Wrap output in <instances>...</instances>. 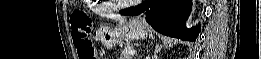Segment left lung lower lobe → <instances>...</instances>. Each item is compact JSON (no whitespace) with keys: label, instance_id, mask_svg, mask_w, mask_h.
<instances>
[{"label":"left lung lower lobe","instance_id":"0a47b994","mask_svg":"<svg viewBox=\"0 0 261 59\" xmlns=\"http://www.w3.org/2000/svg\"><path fill=\"white\" fill-rule=\"evenodd\" d=\"M191 10V0H147L121 10L122 15L136 16L146 11V21L157 32L182 40L196 41L200 25L188 29L185 25Z\"/></svg>","mask_w":261,"mask_h":59}]
</instances>
